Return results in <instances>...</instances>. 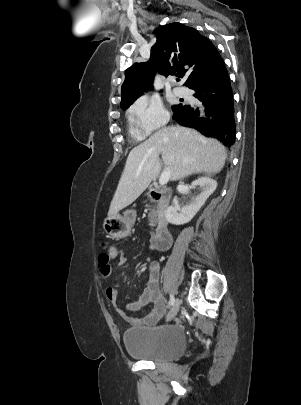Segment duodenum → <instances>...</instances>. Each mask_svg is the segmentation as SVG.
Returning <instances> with one entry per match:
<instances>
[{"label": "duodenum", "instance_id": "410a0bca", "mask_svg": "<svg viewBox=\"0 0 301 405\" xmlns=\"http://www.w3.org/2000/svg\"><path fill=\"white\" fill-rule=\"evenodd\" d=\"M151 195L160 206L158 226L151 239L152 245L157 250H166L171 244V235L166 220V212L171 202L173 192L170 188L161 187L152 189Z\"/></svg>", "mask_w": 301, "mask_h": 405}]
</instances>
